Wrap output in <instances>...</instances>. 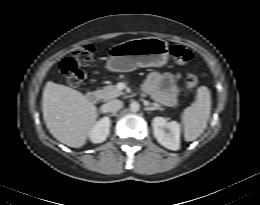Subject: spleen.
I'll list each match as a JSON object with an SVG mask.
<instances>
[{"instance_id": "1", "label": "spleen", "mask_w": 260, "mask_h": 205, "mask_svg": "<svg viewBox=\"0 0 260 205\" xmlns=\"http://www.w3.org/2000/svg\"><path fill=\"white\" fill-rule=\"evenodd\" d=\"M211 111V95L206 86L197 89L196 101L182 114L184 137L186 141L196 140L207 127Z\"/></svg>"}]
</instances>
